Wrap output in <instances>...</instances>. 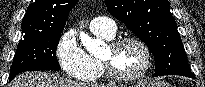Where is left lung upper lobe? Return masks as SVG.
<instances>
[{
  "label": "left lung upper lobe",
  "mask_w": 205,
  "mask_h": 87,
  "mask_svg": "<svg viewBox=\"0 0 205 87\" xmlns=\"http://www.w3.org/2000/svg\"><path fill=\"white\" fill-rule=\"evenodd\" d=\"M106 6L148 46L156 76L191 73L168 0H106Z\"/></svg>",
  "instance_id": "left-lung-upper-lobe-1"
}]
</instances>
